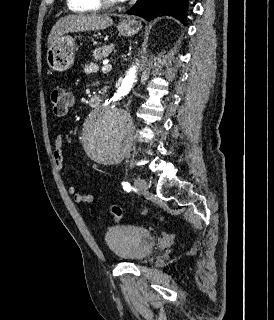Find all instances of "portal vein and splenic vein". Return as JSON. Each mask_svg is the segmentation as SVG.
<instances>
[{
  "mask_svg": "<svg viewBox=\"0 0 274 320\" xmlns=\"http://www.w3.org/2000/svg\"><path fill=\"white\" fill-rule=\"evenodd\" d=\"M108 68H111V64H109V60H104L102 70H108Z\"/></svg>",
  "mask_w": 274,
  "mask_h": 320,
  "instance_id": "portal-vein-and-splenic-vein-1",
  "label": "portal vein and splenic vein"
}]
</instances>
